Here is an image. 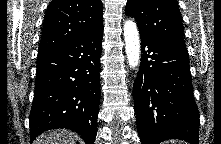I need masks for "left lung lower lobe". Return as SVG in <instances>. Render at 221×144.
Returning <instances> with one entry per match:
<instances>
[{
    "label": "left lung lower lobe",
    "mask_w": 221,
    "mask_h": 144,
    "mask_svg": "<svg viewBox=\"0 0 221 144\" xmlns=\"http://www.w3.org/2000/svg\"><path fill=\"white\" fill-rule=\"evenodd\" d=\"M141 48L133 98L142 144L166 139L198 144L199 111L186 47L141 35Z\"/></svg>",
    "instance_id": "1"
}]
</instances>
